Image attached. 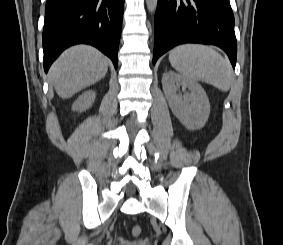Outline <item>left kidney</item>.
<instances>
[{"instance_id":"5707ae66","label":"left kidney","mask_w":283,"mask_h":245,"mask_svg":"<svg viewBox=\"0 0 283 245\" xmlns=\"http://www.w3.org/2000/svg\"><path fill=\"white\" fill-rule=\"evenodd\" d=\"M163 91L173 114L190 130L202 128L210 114V103L204 89L195 81L174 71H167L162 77ZM182 86L184 94H177ZM188 89V92H186Z\"/></svg>"}]
</instances>
